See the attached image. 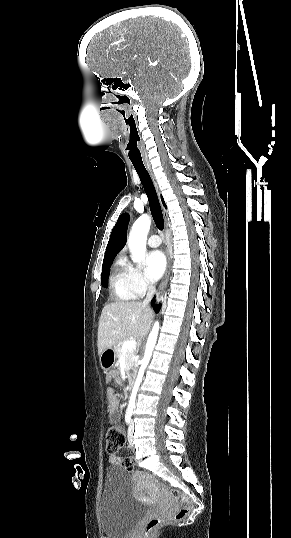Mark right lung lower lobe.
<instances>
[{"label":"right lung lower lobe","mask_w":291,"mask_h":538,"mask_svg":"<svg viewBox=\"0 0 291 538\" xmlns=\"http://www.w3.org/2000/svg\"><path fill=\"white\" fill-rule=\"evenodd\" d=\"M152 306H153L155 312H158V311H159V309H160V305H155V299L152 301Z\"/></svg>","instance_id":"1"}]
</instances>
